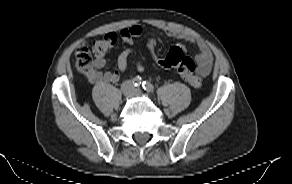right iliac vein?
Returning a JSON list of instances; mask_svg holds the SVG:
<instances>
[{
    "mask_svg": "<svg viewBox=\"0 0 292 184\" xmlns=\"http://www.w3.org/2000/svg\"><path fill=\"white\" fill-rule=\"evenodd\" d=\"M131 85L129 83H125L123 88H122V92L125 96H129L131 94Z\"/></svg>",
    "mask_w": 292,
    "mask_h": 184,
    "instance_id": "1",
    "label": "right iliac vein"
}]
</instances>
